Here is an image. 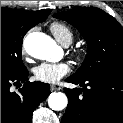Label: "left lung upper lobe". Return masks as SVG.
Here are the masks:
<instances>
[{
    "instance_id": "obj_1",
    "label": "left lung upper lobe",
    "mask_w": 123,
    "mask_h": 123,
    "mask_svg": "<svg viewBox=\"0 0 123 123\" xmlns=\"http://www.w3.org/2000/svg\"><path fill=\"white\" fill-rule=\"evenodd\" d=\"M73 25L88 43L85 61L72 76L80 79L97 73L123 70V27L96 7L76 8L55 14Z\"/></svg>"
}]
</instances>
